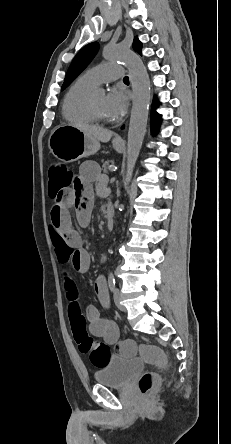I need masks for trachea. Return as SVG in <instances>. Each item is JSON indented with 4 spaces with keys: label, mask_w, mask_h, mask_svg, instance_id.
<instances>
[{
    "label": "trachea",
    "mask_w": 231,
    "mask_h": 444,
    "mask_svg": "<svg viewBox=\"0 0 231 444\" xmlns=\"http://www.w3.org/2000/svg\"><path fill=\"white\" fill-rule=\"evenodd\" d=\"M123 80H124V81H129L128 76H125Z\"/></svg>",
    "instance_id": "obj_1"
}]
</instances>
